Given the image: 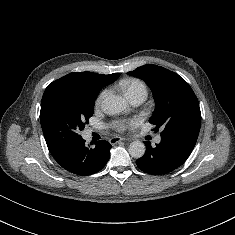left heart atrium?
Masks as SVG:
<instances>
[{
    "label": "left heart atrium",
    "instance_id": "1",
    "mask_svg": "<svg viewBox=\"0 0 235 235\" xmlns=\"http://www.w3.org/2000/svg\"><path fill=\"white\" fill-rule=\"evenodd\" d=\"M136 119H119L113 122V127L117 130H125L136 123Z\"/></svg>",
    "mask_w": 235,
    "mask_h": 235
}]
</instances>
